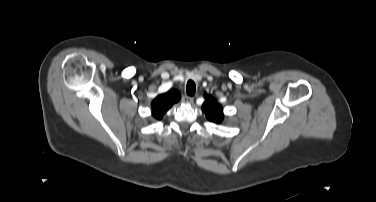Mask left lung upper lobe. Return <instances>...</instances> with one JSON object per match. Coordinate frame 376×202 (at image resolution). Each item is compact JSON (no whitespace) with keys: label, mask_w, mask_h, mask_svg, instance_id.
<instances>
[{"label":"left lung upper lobe","mask_w":376,"mask_h":202,"mask_svg":"<svg viewBox=\"0 0 376 202\" xmlns=\"http://www.w3.org/2000/svg\"><path fill=\"white\" fill-rule=\"evenodd\" d=\"M207 97V100L204 102L202 106V110L205 113L206 117L209 121L214 123H221L223 118V109L220 104L211 96L204 94Z\"/></svg>","instance_id":"obj_1"}]
</instances>
